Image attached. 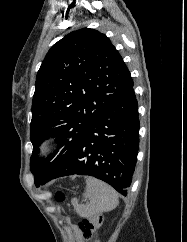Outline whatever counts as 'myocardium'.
Instances as JSON below:
<instances>
[{"instance_id": "obj_1", "label": "myocardium", "mask_w": 187, "mask_h": 242, "mask_svg": "<svg viewBox=\"0 0 187 242\" xmlns=\"http://www.w3.org/2000/svg\"><path fill=\"white\" fill-rule=\"evenodd\" d=\"M55 149V144L54 143H45L44 145H43V151L45 152V153H50V152H52L53 150Z\"/></svg>"}]
</instances>
